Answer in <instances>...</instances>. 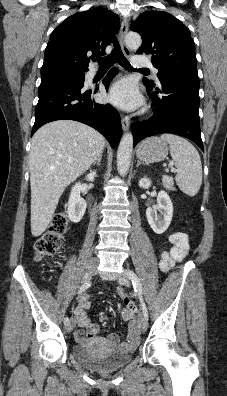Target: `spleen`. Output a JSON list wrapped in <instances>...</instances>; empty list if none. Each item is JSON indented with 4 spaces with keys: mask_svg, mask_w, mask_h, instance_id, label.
Masks as SVG:
<instances>
[{
    "mask_svg": "<svg viewBox=\"0 0 227 396\" xmlns=\"http://www.w3.org/2000/svg\"><path fill=\"white\" fill-rule=\"evenodd\" d=\"M161 139L170 144V154L175 162L176 183L180 190L195 196L202 184V164L198 151L186 139L173 134H162Z\"/></svg>",
    "mask_w": 227,
    "mask_h": 396,
    "instance_id": "3e777b00",
    "label": "spleen"
}]
</instances>
